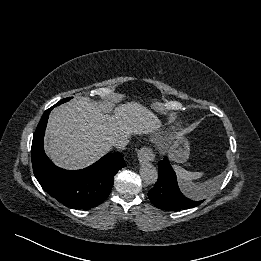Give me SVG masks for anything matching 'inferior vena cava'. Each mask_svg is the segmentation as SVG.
I'll return each instance as SVG.
<instances>
[{"label":"inferior vena cava","mask_w":261,"mask_h":261,"mask_svg":"<svg viewBox=\"0 0 261 261\" xmlns=\"http://www.w3.org/2000/svg\"><path fill=\"white\" fill-rule=\"evenodd\" d=\"M129 140L128 138L126 137H121V138H118L116 139L114 142H113V146L115 148H117L118 150H124L126 145L128 144Z\"/></svg>","instance_id":"1"}]
</instances>
